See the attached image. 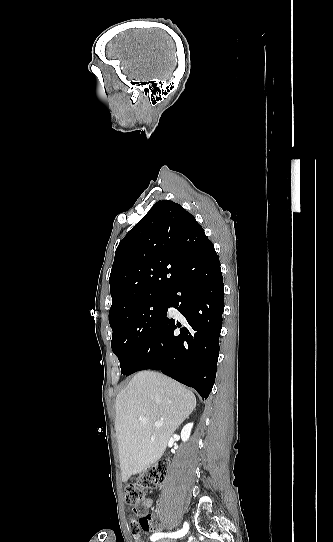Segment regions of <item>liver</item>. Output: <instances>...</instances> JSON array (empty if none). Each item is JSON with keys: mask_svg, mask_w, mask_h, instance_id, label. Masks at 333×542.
I'll list each match as a JSON object with an SVG mask.
<instances>
[{"mask_svg": "<svg viewBox=\"0 0 333 542\" xmlns=\"http://www.w3.org/2000/svg\"><path fill=\"white\" fill-rule=\"evenodd\" d=\"M196 408L193 392L158 374L138 372L115 404V430L122 482L140 474L162 458L178 426ZM139 418H147L143 424ZM164 422V426H155Z\"/></svg>", "mask_w": 333, "mask_h": 542, "instance_id": "6515ba94", "label": "liver"}]
</instances>
